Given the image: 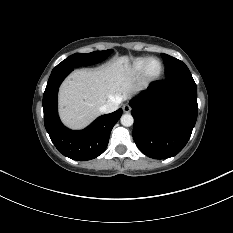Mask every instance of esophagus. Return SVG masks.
Returning a JSON list of instances; mask_svg holds the SVG:
<instances>
[{
    "mask_svg": "<svg viewBox=\"0 0 233 233\" xmlns=\"http://www.w3.org/2000/svg\"><path fill=\"white\" fill-rule=\"evenodd\" d=\"M122 108L125 113H129L131 111V107L128 104L123 105Z\"/></svg>",
    "mask_w": 233,
    "mask_h": 233,
    "instance_id": "34e87169",
    "label": "esophagus"
}]
</instances>
